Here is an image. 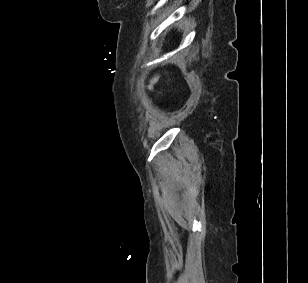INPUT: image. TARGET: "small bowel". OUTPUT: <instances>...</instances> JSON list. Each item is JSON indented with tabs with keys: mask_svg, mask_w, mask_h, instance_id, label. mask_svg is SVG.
<instances>
[{
	"mask_svg": "<svg viewBox=\"0 0 308 283\" xmlns=\"http://www.w3.org/2000/svg\"><path fill=\"white\" fill-rule=\"evenodd\" d=\"M157 77H153L152 80H151V85L156 81Z\"/></svg>",
	"mask_w": 308,
	"mask_h": 283,
	"instance_id": "small-bowel-1",
	"label": "small bowel"
}]
</instances>
